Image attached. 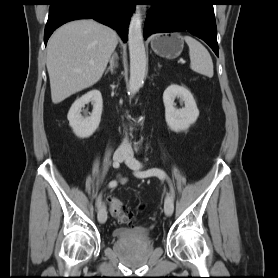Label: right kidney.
I'll use <instances>...</instances> for the list:
<instances>
[{"instance_id": "right-kidney-1", "label": "right kidney", "mask_w": 278, "mask_h": 278, "mask_svg": "<svg viewBox=\"0 0 278 278\" xmlns=\"http://www.w3.org/2000/svg\"><path fill=\"white\" fill-rule=\"evenodd\" d=\"M89 102L93 104V111L90 116L83 117L81 109ZM102 108V95L96 89L87 92L72 104L67 118L77 137L88 138L96 131L101 121Z\"/></svg>"}]
</instances>
